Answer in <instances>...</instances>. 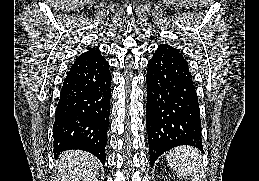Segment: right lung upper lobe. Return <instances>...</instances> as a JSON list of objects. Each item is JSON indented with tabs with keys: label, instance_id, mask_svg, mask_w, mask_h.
<instances>
[{
	"label": "right lung upper lobe",
	"instance_id": "cb5924a9",
	"mask_svg": "<svg viewBox=\"0 0 259 181\" xmlns=\"http://www.w3.org/2000/svg\"><path fill=\"white\" fill-rule=\"evenodd\" d=\"M97 52H99L98 48H90L87 52L82 53L78 58L89 56V55H92V54L97 53Z\"/></svg>",
	"mask_w": 259,
	"mask_h": 181
}]
</instances>
